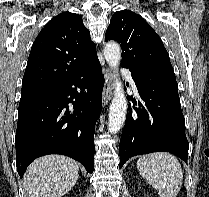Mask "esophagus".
Masks as SVG:
<instances>
[{
	"label": "esophagus",
	"instance_id": "34e87169",
	"mask_svg": "<svg viewBox=\"0 0 209 197\" xmlns=\"http://www.w3.org/2000/svg\"><path fill=\"white\" fill-rule=\"evenodd\" d=\"M113 95V74L111 69L104 68V87L102 92V103L105 106Z\"/></svg>",
	"mask_w": 209,
	"mask_h": 197
}]
</instances>
